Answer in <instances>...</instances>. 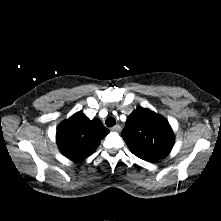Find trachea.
I'll return each mask as SVG.
<instances>
[{
    "label": "trachea",
    "mask_w": 221,
    "mask_h": 221,
    "mask_svg": "<svg viewBox=\"0 0 221 221\" xmlns=\"http://www.w3.org/2000/svg\"><path fill=\"white\" fill-rule=\"evenodd\" d=\"M105 123L108 127H113L116 123V120L113 117H109L106 119Z\"/></svg>",
    "instance_id": "obj_1"
}]
</instances>
